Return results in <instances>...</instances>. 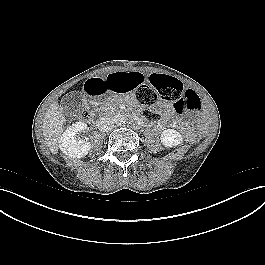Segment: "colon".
<instances>
[{
  "mask_svg": "<svg viewBox=\"0 0 265 265\" xmlns=\"http://www.w3.org/2000/svg\"><path fill=\"white\" fill-rule=\"evenodd\" d=\"M149 81L152 86L142 85L136 91V99L143 106L142 115L147 121L156 122L159 119L156 111L163 102L172 104L180 114L200 112V97L178 79L165 77L162 72L156 71L150 75ZM90 116L88 111L82 115L84 119Z\"/></svg>",
  "mask_w": 265,
  "mask_h": 265,
  "instance_id": "1",
  "label": "colon"
}]
</instances>
